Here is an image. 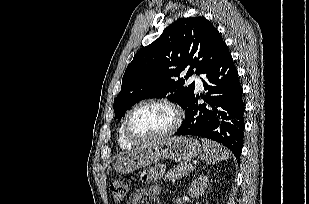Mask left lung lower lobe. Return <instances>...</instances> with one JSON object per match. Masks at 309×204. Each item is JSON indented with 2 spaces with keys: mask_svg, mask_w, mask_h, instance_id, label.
I'll return each mask as SVG.
<instances>
[{
  "mask_svg": "<svg viewBox=\"0 0 309 204\" xmlns=\"http://www.w3.org/2000/svg\"><path fill=\"white\" fill-rule=\"evenodd\" d=\"M203 85L208 105L198 104L194 95L185 109V120L175 135L201 136L222 143L240 162L243 146V89L231 54L226 47L204 73Z\"/></svg>",
  "mask_w": 309,
  "mask_h": 204,
  "instance_id": "left-lung-lower-lobe-1",
  "label": "left lung lower lobe"
}]
</instances>
